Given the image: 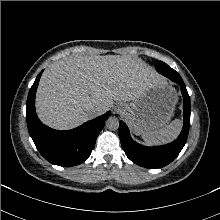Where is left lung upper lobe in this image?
Here are the masks:
<instances>
[{
    "mask_svg": "<svg viewBox=\"0 0 220 220\" xmlns=\"http://www.w3.org/2000/svg\"><path fill=\"white\" fill-rule=\"evenodd\" d=\"M166 64L162 61H158L156 67H159V66H165Z\"/></svg>",
    "mask_w": 220,
    "mask_h": 220,
    "instance_id": "obj_1",
    "label": "left lung upper lobe"
}]
</instances>
